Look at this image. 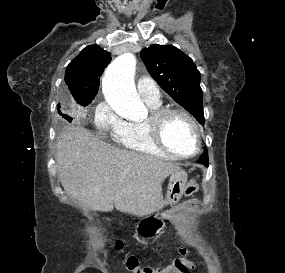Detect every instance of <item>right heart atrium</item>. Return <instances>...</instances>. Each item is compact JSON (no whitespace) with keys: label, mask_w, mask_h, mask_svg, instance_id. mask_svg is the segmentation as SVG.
Segmentation results:
<instances>
[{"label":"right heart atrium","mask_w":285,"mask_h":273,"mask_svg":"<svg viewBox=\"0 0 285 273\" xmlns=\"http://www.w3.org/2000/svg\"><path fill=\"white\" fill-rule=\"evenodd\" d=\"M125 124L126 122L106 101H100L95 107L94 125L99 131L109 133L116 138Z\"/></svg>","instance_id":"right-heart-atrium-1"}]
</instances>
